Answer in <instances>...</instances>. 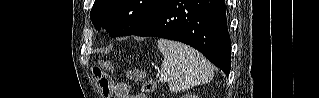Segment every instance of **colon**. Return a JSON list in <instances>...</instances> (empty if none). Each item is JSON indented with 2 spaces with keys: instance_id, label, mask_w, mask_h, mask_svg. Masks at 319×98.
Here are the masks:
<instances>
[{
  "instance_id": "1",
  "label": "colon",
  "mask_w": 319,
  "mask_h": 98,
  "mask_svg": "<svg viewBox=\"0 0 319 98\" xmlns=\"http://www.w3.org/2000/svg\"><path fill=\"white\" fill-rule=\"evenodd\" d=\"M107 68H110L108 63H105ZM93 73L95 78L98 81V84L103 92V94L108 97L111 94V82L109 77L106 75L104 70L101 67L95 66L93 68ZM130 78L133 80H140L143 77L141 71H134L129 74ZM156 89V82L153 79L146 80L142 85V90L147 93H151Z\"/></svg>"
}]
</instances>
